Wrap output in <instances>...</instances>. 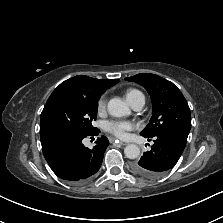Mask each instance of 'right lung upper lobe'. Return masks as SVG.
Wrapping results in <instances>:
<instances>
[{
    "label": "right lung upper lobe",
    "mask_w": 223,
    "mask_h": 223,
    "mask_svg": "<svg viewBox=\"0 0 223 223\" xmlns=\"http://www.w3.org/2000/svg\"><path fill=\"white\" fill-rule=\"evenodd\" d=\"M118 82V79H95L85 75H79L62 82L53 93L72 90L101 96L108 88Z\"/></svg>",
    "instance_id": "right-lung-upper-lobe-1"
}]
</instances>
